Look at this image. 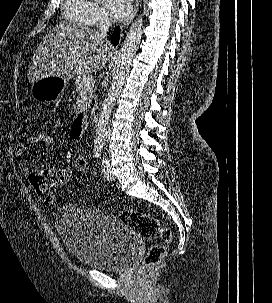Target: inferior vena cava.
Returning <instances> with one entry per match:
<instances>
[{
  "instance_id": "1",
  "label": "inferior vena cava",
  "mask_w": 272,
  "mask_h": 303,
  "mask_svg": "<svg viewBox=\"0 0 272 303\" xmlns=\"http://www.w3.org/2000/svg\"><path fill=\"white\" fill-rule=\"evenodd\" d=\"M111 23L110 20L107 17H103L100 21V34L101 36L105 39V37L107 36V32L109 30Z\"/></svg>"
}]
</instances>
